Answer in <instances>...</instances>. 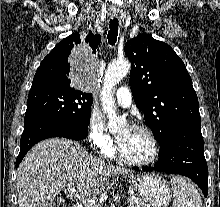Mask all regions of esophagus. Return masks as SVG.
Segmentation results:
<instances>
[{
	"label": "esophagus",
	"mask_w": 220,
	"mask_h": 207,
	"mask_svg": "<svg viewBox=\"0 0 220 207\" xmlns=\"http://www.w3.org/2000/svg\"><path fill=\"white\" fill-rule=\"evenodd\" d=\"M116 17V15H112V18Z\"/></svg>",
	"instance_id": "34e87169"
}]
</instances>
